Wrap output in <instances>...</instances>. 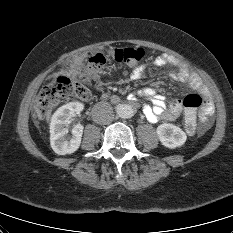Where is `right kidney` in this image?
Listing matches in <instances>:
<instances>
[{
	"instance_id": "ca27d5eb",
	"label": "right kidney",
	"mask_w": 233,
	"mask_h": 233,
	"mask_svg": "<svg viewBox=\"0 0 233 233\" xmlns=\"http://www.w3.org/2000/svg\"><path fill=\"white\" fill-rule=\"evenodd\" d=\"M83 104L70 102L60 107L52 116L50 123V143L53 151L58 155L74 153L81 144L83 125L77 124L67 136V126L76 112L82 111Z\"/></svg>"
}]
</instances>
